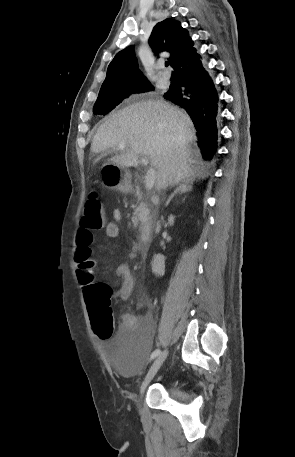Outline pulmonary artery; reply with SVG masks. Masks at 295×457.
Returning <instances> with one entry per match:
<instances>
[{
    "label": "pulmonary artery",
    "instance_id": "pulmonary-artery-1",
    "mask_svg": "<svg viewBox=\"0 0 295 457\" xmlns=\"http://www.w3.org/2000/svg\"><path fill=\"white\" fill-rule=\"evenodd\" d=\"M160 77H161L162 80L168 81L170 79L171 75H170V73L168 71L164 70V71L160 72Z\"/></svg>",
    "mask_w": 295,
    "mask_h": 457
}]
</instances>
